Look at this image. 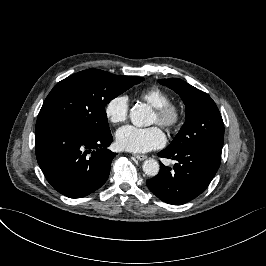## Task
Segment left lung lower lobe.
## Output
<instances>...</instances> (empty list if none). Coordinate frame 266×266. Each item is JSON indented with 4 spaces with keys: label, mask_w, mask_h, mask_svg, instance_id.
Listing matches in <instances>:
<instances>
[{
    "label": "left lung lower lobe",
    "mask_w": 266,
    "mask_h": 266,
    "mask_svg": "<svg viewBox=\"0 0 266 266\" xmlns=\"http://www.w3.org/2000/svg\"><path fill=\"white\" fill-rule=\"evenodd\" d=\"M222 146L200 143L178 151L165 148L158 155L178 163L171 168L160 164L159 173L146 181L149 190L162 201L185 204L205 191L221 162Z\"/></svg>",
    "instance_id": "obj_1"
}]
</instances>
